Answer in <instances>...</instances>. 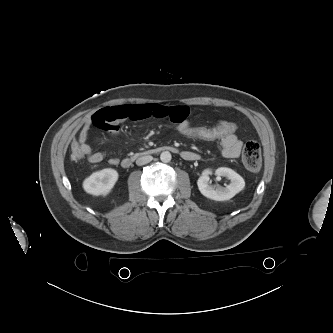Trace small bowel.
Segmentation results:
<instances>
[{
    "mask_svg": "<svg viewBox=\"0 0 333 333\" xmlns=\"http://www.w3.org/2000/svg\"><path fill=\"white\" fill-rule=\"evenodd\" d=\"M168 119L177 127L191 126L189 121V110L185 106H167L158 103L124 104L106 107L95 112L83 125L78 143L83 151L84 157L91 163H100L105 159V153L94 152L88 143L89 132L92 126L101 128L116 137L119 133L120 123L127 119L143 120L147 118ZM221 153L226 158H238L241 154L243 142L236 133L229 134L219 140ZM186 160H195L196 154L185 151L182 154ZM109 164L117 165L119 159L112 156L108 159Z\"/></svg>",
    "mask_w": 333,
    "mask_h": 333,
    "instance_id": "1",
    "label": "small bowel"
}]
</instances>
